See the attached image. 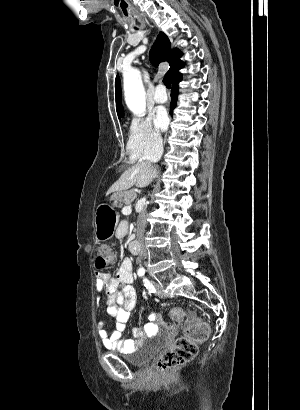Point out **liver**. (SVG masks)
Returning <instances> with one entry per match:
<instances>
[{"mask_svg": "<svg viewBox=\"0 0 300 410\" xmlns=\"http://www.w3.org/2000/svg\"><path fill=\"white\" fill-rule=\"evenodd\" d=\"M152 166H143L140 163L129 167L121 177L110 187L107 195L112 192L127 190L134 185L139 188L148 186L153 178Z\"/></svg>", "mask_w": 300, "mask_h": 410, "instance_id": "1", "label": "liver"}]
</instances>
